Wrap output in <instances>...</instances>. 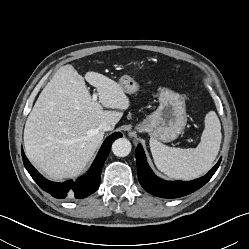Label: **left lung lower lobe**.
<instances>
[{
	"mask_svg": "<svg viewBox=\"0 0 249 249\" xmlns=\"http://www.w3.org/2000/svg\"><path fill=\"white\" fill-rule=\"evenodd\" d=\"M138 179L141 186L150 194L162 198H177L188 195L206 184L214 175L219 167L221 158L218 163L203 177L183 182V181H165L153 173L146 161L145 153L139 144L136 149Z\"/></svg>",
	"mask_w": 249,
	"mask_h": 249,
	"instance_id": "1",
	"label": "left lung lower lobe"
}]
</instances>
